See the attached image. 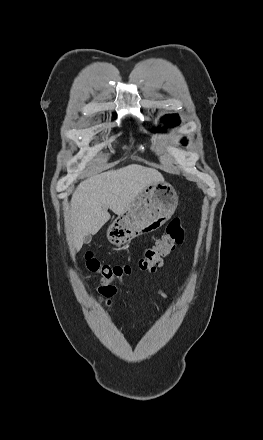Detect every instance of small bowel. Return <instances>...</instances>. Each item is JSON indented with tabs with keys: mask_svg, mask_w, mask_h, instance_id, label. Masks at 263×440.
Here are the masks:
<instances>
[{
	"mask_svg": "<svg viewBox=\"0 0 263 440\" xmlns=\"http://www.w3.org/2000/svg\"><path fill=\"white\" fill-rule=\"evenodd\" d=\"M165 289L169 290V288L164 285L163 286ZM99 293L107 300L108 305L110 304V299L112 298V296L115 294V288L113 286H102L99 288ZM160 294L165 297L168 298L169 296L165 293V291H160Z\"/></svg>",
	"mask_w": 263,
	"mask_h": 440,
	"instance_id": "c3829d8e",
	"label": "small bowel"
}]
</instances>
